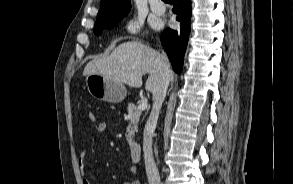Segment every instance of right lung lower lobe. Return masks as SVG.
I'll return each mask as SVG.
<instances>
[{"mask_svg": "<svg viewBox=\"0 0 293 184\" xmlns=\"http://www.w3.org/2000/svg\"><path fill=\"white\" fill-rule=\"evenodd\" d=\"M173 12L180 22L178 30L167 28L161 35V43L171 61L176 73L182 71L184 53L186 50L188 35L190 33L191 0H172Z\"/></svg>", "mask_w": 293, "mask_h": 184, "instance_id": "obj_1", "label": "right lung lower lobe"}]
</instances>
